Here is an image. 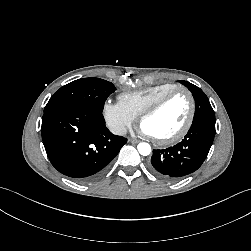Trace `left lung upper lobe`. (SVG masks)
I'll use <instances>...</instances> for the list:
<instances>
[{
  "instance_id": "1",
  "label": "left lung upper lobe",
  "mask_w": 251,
  "mask_h": 251,
  "mask_svg": "<svg viewBox=\"0 0 251 251\" xmlns=\"http://www.w3.org/2000/svg\"><path fill=\"white\" fill-rule=\"evenodd\" d=\"M184 84L193 94L195 102H196V109L193 121H196L200 118H213L215 119L214 111L210 105L209 99L205 95V93L197 86L188 81H180Z\"/></svg>"
}]
</instances>
